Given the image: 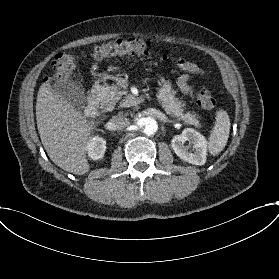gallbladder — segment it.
<instances>
[{"label":"gallbladder","mask_w":279,"mask_h":279,"mask_svg":"<svg viewBox=\"0 0 279 279\" xmlns=\"http://www.w3.org/2000/svg\"><path fill=\"white\" fill-rule=\"evenodd\" d=\"M53 86L57 94L79 109H83L87 104L85 89L69 77L57 79Z\"/></svg>","instance_id":"obj_1"}]
</instances>
